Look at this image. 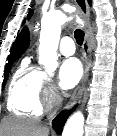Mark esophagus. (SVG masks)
<instances>
[{
	"label": "esophagus",
	"instance_id": "esophagus-1",
	"mask_svg": "<svg viewBox=\"0 0 117 136\" xmlns=\"http://www.w3.org/2000/svg\"><path fill=\"white\" fill-rule=\"evenodd\" d=\"M75 3L79 9L80 15L81 17L84 19V21L86 22V26H85V38H84V42H83V54H84V75L83 78L81 80V82L79 83V85L77 86V88L74 90L70 102L68 104V108H71L80 98L86 82L88 80L89 77V70H90V59H91V37H92V31H91V27L89 24V20H90V9L88 6V3L86 0H75Z\"/></svg>",
	"mask_w": 117,
	"mask_h": 136
}]
</instances>
